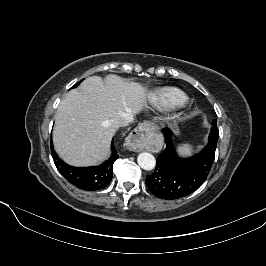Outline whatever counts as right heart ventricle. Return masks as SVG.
<instances>
[{"instance_id":"e07e8e85","label":"right heart ventricle","mask_w":266,"mask_h":266,"mask_svg":"<svg viewBox=\"0 0 266 266\" xmlns=\"http://www.w3.org/2000/svg\"><path fill=\"white\" fill-rule=\"evenodd\" d=\"M187 95L177 88H162L152 97V104L161 111H172L188 103Z\"/></svg>"}]
</instances>
